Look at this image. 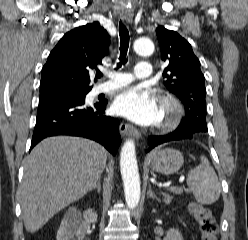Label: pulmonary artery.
<instances>
[{
    "label": "pulmonary artery",
    "mask_w": 248,
    "mask_h": 240,
    "mask_svg": "<svg viewBox=\"0 0 248 240\" xmlns=\"http://www.w3.org/2000/svg\"><path fill=\"white\" fill-rule=\"evenodd\" d=\"M151 75V65L146 61H140L136 64L133 75L125 72H111L109 80L97 85L92 90V95L110 92L131 83L134 79L148 80Z\"/></svg>",
    "instance_id": "e3ab8cb5"
}]
</instances>
